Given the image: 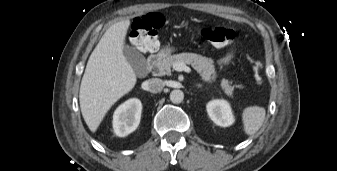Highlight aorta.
<instances>
[{
    "label": "aorta",
    "mask_w": 337,
    "mask_h": 171,
    "mask_svg": "<svg viewBox=\"0 0 337 171\" xmlns=\"http://www.w3.org/2000/svg\"><path fill=\"white\" fill-rule=\"evenodd\" d=\"M183 99H184V93L181 90L175 89L171 91L170 100L172 103L179 104L183 101Z\"/></svg>",
    "instance_id": "762f6f07"
}]
</instances>
